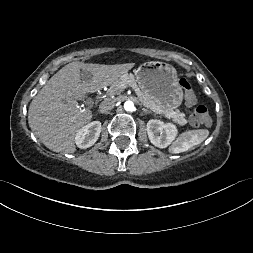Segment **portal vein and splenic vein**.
<instances>
[{
    "mask_svg": "<svg viewBox=\"0 0 253 253\" xmlns=\"http://www.w3.org/2000/svg\"><path fill=\"white\" fill-rule=\"evenodd\" d=\"M165 117H167V118H171L172 116H171V115H165Z\"/></svg>",
    "mask_w": 253,
    "mask_h": 253,
    "instance_id": "18ae733b",
    "label": "portal vein and splenic vein"
}]
</instances>
